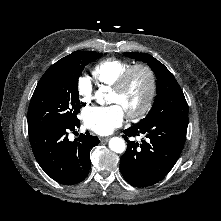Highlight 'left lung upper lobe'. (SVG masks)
I'll list each match as a JSON object with an SVG mask.
<instances>
[{
  "label": "left lung upper lobe",
  "mask_w": 221,
  "mask_h": 221,
  "mask_svg": "<svg viewBox=\"0 0 221 221\" xmlns=\"http://www.w3.org/2000/svg\"><path fill=\"white\" fill-rule=\"evenodd\" d=\"M127 57L138 59L149 64L157 78V96L147 116L140 122L163 118L170 113L174 103H178L183 94L173 74L157 59L146 53H124ZM184 95V94H183Z\"/></svg>",
  "instance_id": "5c2ea615"
}]
</instances>
